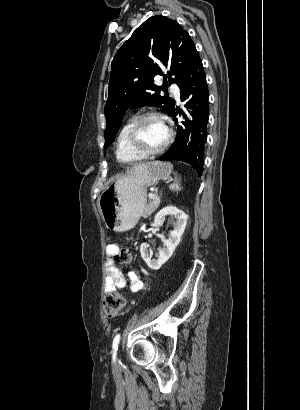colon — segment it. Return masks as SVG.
Instances as JSON below:
<instances>
[{
  "instance_id": "colon-1",
  "label": "colon",
  "mask_w": 300,
  "mask_h": 410,
  "mask_svg": "<svg viewBox=\"0 0 300 410\" xmlns=\"http://www.w3.org/2000/svg\"><path fill=\"white\" fill-rule=\"evenodd\" d=\"M132 260L131 250L127 247L118 249L115 253V261L120 264H128ZM125 305V299L116 292H107L103 299V310L107 317L112 318L120 314Z\"/></svg>"
}]
</instances>
